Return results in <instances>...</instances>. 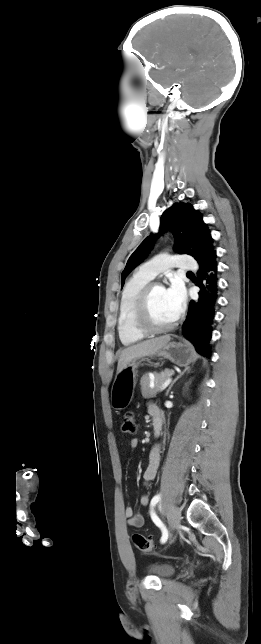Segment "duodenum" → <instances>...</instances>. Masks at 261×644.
<instances>
[{"label":"duodenum","instance_id":"410a0bca","mask_svg":"<svg viewBox=\"0 0 261 644\" xmlns=\"http://www.w3.org/2000/svg\"><path fill=\"white\" fill-rule=\"evenodd\" d=\"M153 427H154V436L159 437L163 428L162 417L158 414L153 416Z\"/></svg>","mask_w":261,"mask_h":644}]
</instances>
